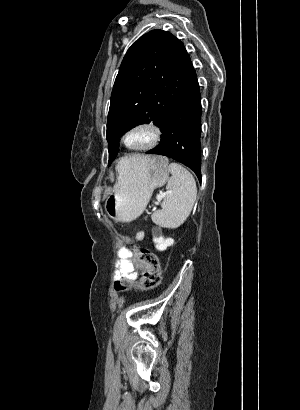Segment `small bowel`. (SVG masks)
Returning <instances> with one entry per match:
<instances>
[{
	"label": "small bowel",
	"mask_w": 300,
	"mask_h": 410,
	"mask_svg": "<svg viewBox=\"0 0 300 410\" xmlns=\"http://www.w3.org/2000/svg\"><path fill=\"white\" fill-rule=\"evenodd\" d=\"M143 236H144L143 232H139L137 234L138 239L143 238ZM118 256H119V260L117 263V268H118L117 278L120 280L128 279L131 282H134L138 278V273L136 271L137 266L134 261L132 252L126 248H122L118 252Z\"/></svg>",
	"instance_id": "obj_1"
}]
</instances>
